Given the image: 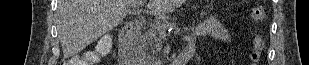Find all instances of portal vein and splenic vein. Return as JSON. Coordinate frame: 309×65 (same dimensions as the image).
Here are the masks:
<instances>
[{"mask_svg": "<svg viewBox=\"0 0 309 65\" xmlns=\"http://www.w3.org/2000/svg\"><path fill=\"white\" fill-rule=\"evenodd\" d=\"M141 5H142V4H141ZM156 26H157V29H159V30H160V29L165 30V28H166V27H165V25H163V24H162V25H160V23H159V22H157V23H156Z\"/></svg>", "mask_w": 309, "mask_h": 65, "instance_id": "portal-vein-and-splenic-vein-1", "label": "portal vein and splenic vein"}]
</instances>
